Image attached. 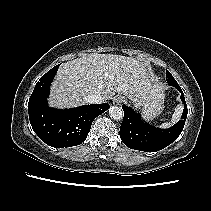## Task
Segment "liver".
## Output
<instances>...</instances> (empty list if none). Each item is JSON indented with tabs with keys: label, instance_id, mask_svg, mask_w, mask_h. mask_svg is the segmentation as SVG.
I'll use <instances>...</instances> for the list:
<instances>
[{
	"label": "liver",
	"instance_id": "obj_1",
	"mask_svg": "<svg viewBox=\"0 0 211 211\" xmlns=\"http://www.w3.org/2000/svg\"><path fill=\"white\" fill-rule=\"evenodd\" d=\"M163 86L138 60L114 54H89L60 67L51 86L49 105L77 107L85 98L99 94L103 101L116 93L125 95L136 106L164 97Z\"/></svg>",
	"mask_w": 211,
	"mask_h": 211
}]
</instances>
